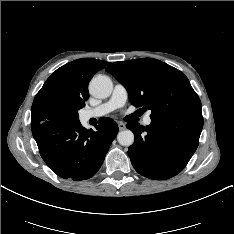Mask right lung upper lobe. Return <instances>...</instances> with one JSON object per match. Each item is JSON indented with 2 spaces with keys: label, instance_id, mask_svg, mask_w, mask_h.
Here are the masks:
<instances>
[{
  "label": "right lung upper lobe",
  "instance_id": "1",
  "mask_svg": "<svg viewBox=\"0 0 234 234\" xmlns=\"http://www.w3.org/2000/svg\"><path fill=\"white\" fill-rule=\"evenodd\" d=\"M108 64L109 62L98 59L82 58L53 72L34 98L32 126L55 120V111L60 106L85 103L89 98L90 79Z\"/></svg>",
  "mask_w": 234,
  "mask_h": 234
}]
</instances>
